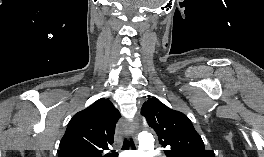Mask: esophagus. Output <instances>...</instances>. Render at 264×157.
Returning a JSON list of instances; mask_svg holds the SVG:
<instances>
[{
  "label": "esophagus",
  "instance_id": "1",
  "mask_svg": "<svg viewBox=\"0 0 264 157\" xmlns=\"http://www.w3.org/2000/svg\"><path fill=\"white\" fill-rule=\"evenodd\" d=\"M126 133L129 136H133L134 140H136L137 132H136V123L135 122H128L126 124Z\"/></svg>",
  "mask_w": 264,
  "mask_h": 157
}]
</instances>
